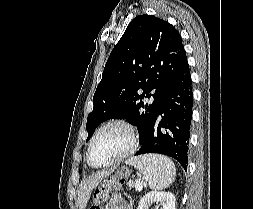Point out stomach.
Instances as JSON below:
<instances>
[{
    "mask_svg": "<svg viewBox=\"0 0 253 209\" xmlns=\"http://www.w3.org/2000/svg\"><path fill=\"white\" fill-rule=\"evenodd\" d=\"M125 177H126V176H125V173H124V172H123V173H122V172L120 173V171H115V174H113L112 177L109 176L107 179H105V180L103 181V183L101 184V186L98 187V188H96L95 191H94V193H95V195H96V197L94 198L96 204H100V203L102 202V200H100L101 197H99V194H100V193H98V192H102L103 189L106 188L107 185H109V182H117V180H119V179H125ZM113 186H114V185H113Z\"/></svg>",
    "mask_w": 253,
    "mask_h": 209,
    "instance_id": "obj_1",
    "label": "stomach"
}]
</instances>
